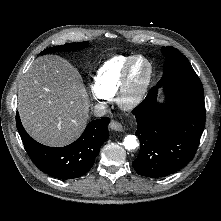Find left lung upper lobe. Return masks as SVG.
I'll return each mask as SVG.
<instances>
[{"instance_id": "5c2ea615", "label": "left lung upper lobe", "mask_w": 221, "mask_h": 221, "mask_svg": "<svg viewBox=\"0 0 221 221\" xmlns=\"http://www.w3.org/2000/svg\"><path fill=\"white\" fill-rule=\"evenodd\" d=\"M161 51L165 56L164 74L156 87L164 86L178 77L195 74L189 61L176 48L162 47Z\"/></svg>"}]
</instances>
